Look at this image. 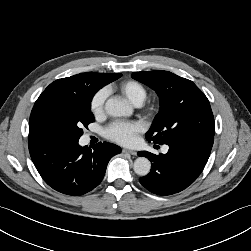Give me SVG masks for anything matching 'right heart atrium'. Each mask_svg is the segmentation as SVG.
Instances as JSON below:
<instances>
[{"label":"right heart atrium","mask_w":251,"mask_h":251,"mask_svg":"<svg viewBox=\"0 0 251 251\" xmlns=\"http://www.w3.org/2000/svg\"><path fill=\"white\" fill-rule=\"evenodd\" d=\"M108 97V90L101 88L92 96L90 110L95 116H100L104 112L105 102Z\"/></svg>","instance_id":"right-heart-atrium-1"}]
</instances>
